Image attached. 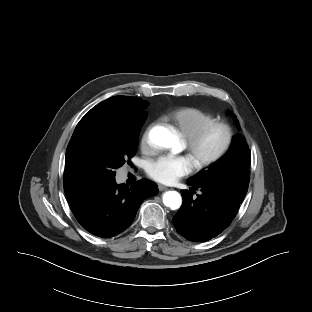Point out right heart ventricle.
I'll use <instances>...</instances> for the list:
<instances>
[{
    "mask_svg": "<svg viewBox=\"0 0 312 312\" xmlns=\"http://www.w3.org/2000/svg\"><path fill=\"white\" fill-rule=\"evenodd\" d=\"M164 119L171 122L186 138L214 121L215 117L198 108L181 107L169 112Z\"/></svg>",
    "mask_w": 312,
    "mask_h": 312,
    "instance_id": "1",
    "label": "right heart ventricle"
}]
</instances>
